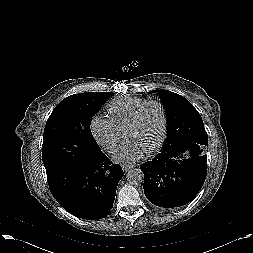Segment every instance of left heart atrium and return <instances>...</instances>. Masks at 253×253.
Segmentation results:
<instances>
[{"mask_svg":"<svg viewBox=\"0 0 253 253\" xmlns=\"http://www.w3.org/2000/svg\"><path fill=\"white\" fill-rule=\"evenodd\" d=\"M146 152L145 148L138 142L128 139L114 154L117 162L131 163L143 156Z\"/></svg>","mask_w":253,"mask_h":253,"instance_id":"obj_1","label":"left heart atrium"}]
</instances>
